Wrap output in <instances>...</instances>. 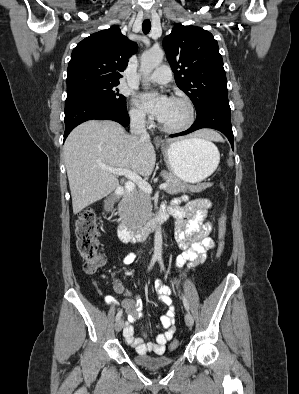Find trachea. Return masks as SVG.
Returning <instances> with one entry per match:
<instances>
[{
	"instance_id": "obj_1",
	"label": "trachea",
	"mask_w": 299,
	"mask_h": 394,
	"mask_svg": "<svg viewBox=\"0 0 299 394\" xmlns=\"http://www.w3.org/2000/svg\"><path fill=\"white\" fill-rule=\"evenodd\" d=\"M151 29V22L149 19H145L142 24V30L144 34H148Z\"/></svg>"
}]
</instances>
